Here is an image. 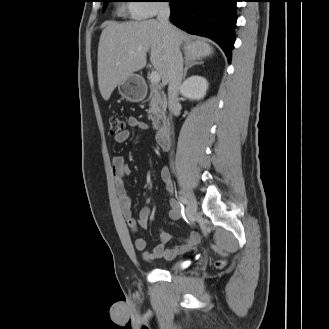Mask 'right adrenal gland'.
I'll use <instances>...</instances> for the list:
<instances>
[{
	"label": "right adrenal gland",
	"mask_w": 329,
	"mask_h": 329,
	"mask_svg": "<svg viewBox=\"0 0 329 329\" xmlns=\"http://www.w3.org/2000/svg\"><path fill=\"white\" fill-rule=\"evenodd\" d=\"M203 61H197L196 59H189V58H185V68H184V73H183V79L186 78L187 75V71L189 68L193 67L194 65H199V64H203Z\"/></svg>",
	"instance_id": "2a0ac1e0"
}]
</instances>
